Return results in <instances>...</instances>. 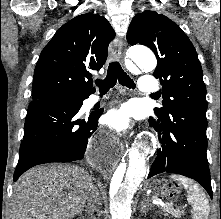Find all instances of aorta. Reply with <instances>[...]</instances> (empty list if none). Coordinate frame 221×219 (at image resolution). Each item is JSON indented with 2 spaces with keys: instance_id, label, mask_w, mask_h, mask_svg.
Returning a JSON list of instances; mask_svg holds the SVG:
<instances>
[{
  "instance_id": "obj_1",
  "label": "aorta",
  "mask_w": 221,
  "mask_h": 219,
  "mask_svg": "<svg viewBox=\"0 0 221 219\" xmlns=\"http://www.w3.org/2000/svg\"><path fill=\"white\" fill-rule=\"evenodd\" d=\"M127 57L145 71L155 69L157 61L152 51L146 47H132ZM150 148L139 146L114 171L110 184L111 219H130L131 206L135 195L147 174V160Z\"/></svg>"
}]
</instances>
